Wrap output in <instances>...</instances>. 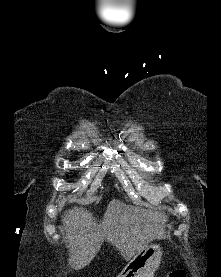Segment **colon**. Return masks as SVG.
I'll use <instances>...</instances> for the list:
<instances>
[{
  "mask_svg": "<svg viewBox=\"0 0 221 277\" xmlns=\"http://www.w3.org/2000/svg\"><path fill=\"white\" fill-rule=\"evenodd\" d=\"M169 277H186L183 270H173L169 273Z\"/></svg>",
  "mask_w": 221,
  "mask_h": 277,
  "instance_id": "obj_1",
  "label": "colon"
}]
</instances>
